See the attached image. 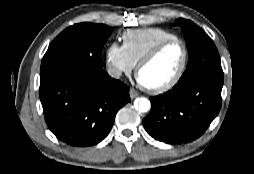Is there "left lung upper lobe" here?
I'll use <instances>...</instances> for the list:
<instances>
[{
  "instance_id": "5c2ea615",
  "label": "left lung upper lobe",
  "mask_w": 254,
  "mask_h": 174,
  "mask_svg": "<svg viewBox=\"0 0 254 174\" xmlns=\"http://www.w3.org/2000/svg\"><path fill=\"white\" fill-rule=\"evenodd\" d=\"M173 25L181 26L189 60L178 82H186L204 74H222L219 53L214 42L199 26L190 20L177 19Z\"/></svg>"
}]
</instances>
